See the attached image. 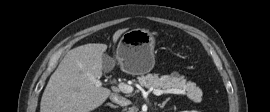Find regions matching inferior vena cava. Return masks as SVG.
Instances as JSON below:
<instances>
[{
    "instance_id": "1",
    "label": "inferior vena cava",
    "mask_w": 270,
    "mask_h": 112,
    "mask_svg": "<svg viewBox=\"0 0 270 112\" xmlns=\"http://www.w3.org/2000/svg\"><path fill=\"white\" fill-rule=\"evenodd\" d=\"M110 100L114 103L121 105V106H127L131 103L130 100H128L125 97L120 96L118 94H111Z\"/></svg>"
}]
</instances>
